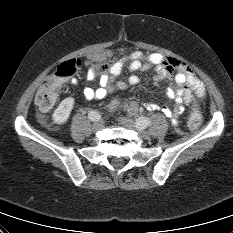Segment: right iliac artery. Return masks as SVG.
<instances>
[{
    "label": "right iliac artery",
    "instance_id": "obj_1",
    "mask_svg": "<svg viewBox=\"0 0 233 233\" xmlns=\"http://www.w3.org/2000/svg\"><path fill=\"white\" fill-rule=\"evenodd\" d=\"M88 117L92 121L100 119V115L96 111L89 112Z\"/></svg>",
    "mask_w": 233,
    "mask_h": 233
}]
</instances>
